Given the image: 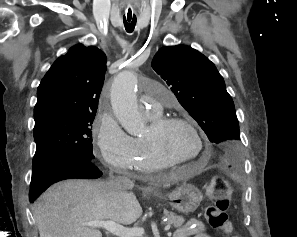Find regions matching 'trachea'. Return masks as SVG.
<instances>
[{
  "label": "trachea",
  "instance_id": "3493384b",
  "mask_svg": "<svg viewBox=\"0 0 297 237\" xmlns=\"http://www.w3.org/2000/svg\"><path fill=\"white\" fill-rule=\"evenodd\" d=\"M135 25H136V20L124 19V26L128 33H131L134 30Z\"/></svg>",
  "mask_w": 297,
  "mask_h": 237
}]
</instances>
